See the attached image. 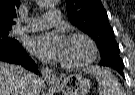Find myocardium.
Instances as JSON below:
<instances>
[{"label": "myocardium", "mask_w": 135, "mask_h": 95, "mask_svg": "<svg viewBox=\"0 0 135 95\" xmlns=\"http://www.w3.org/2000/svg\"><path fill=\"white\" fill-rule=\"evenodd\" d=\"M82 39L88 46L89 48V55L87 58H85L84 60L80 61V62H76V63H68V62H61L62 67L67 68V69H78V68H82L84 66H87L88 64L92 63L97 55H98V48L95 44V42L93 41V39L82 32H75V33H71L68 36V39Z\"/></svg>", "instance_id": "1"}]
</instances>
